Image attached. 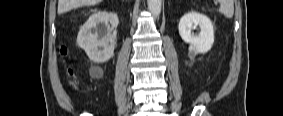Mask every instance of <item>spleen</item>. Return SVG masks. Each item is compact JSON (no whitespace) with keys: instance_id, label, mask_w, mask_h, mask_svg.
<instances>
[{"instance_id":"3e777b00","label":"spleen","mask_w":283,"mask_h":116,"mask_svg":"<svg viewBox=\"0 0 283 116\" xmlns=\"http://www.w3.org/2000/svg\"><path fill=\"white\" fill-rule=\"evenodd\" d=\"M219 12L222 13L226 18H232L234 14L233 0H221Z\"/></svg>"}]
</instances>
